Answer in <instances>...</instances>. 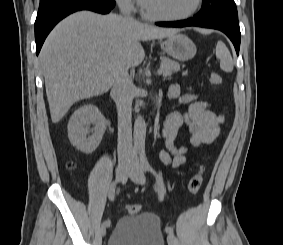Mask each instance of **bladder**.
Here are the masks:
<instances>
[{
  "mask_svg": "<svg viewBox=\"0 0 283 245\" xmlns=\"http://www.w3.org/2000/svg\"><path fill=\"white\" fill-rule=\"evenodd\" d=\"M107 245H165L158 216L152 212H138L121 217Z\"/></svg>",
  "mask_w": 283,
  "mask_h": 245,
  "instance_id": "1",
  "label": "bladder"
}]
</instances>
